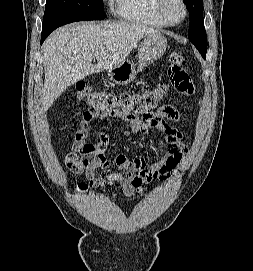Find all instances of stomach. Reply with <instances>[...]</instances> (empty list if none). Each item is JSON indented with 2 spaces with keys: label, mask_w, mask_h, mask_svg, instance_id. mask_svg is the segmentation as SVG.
I'll list each match as a JSON object with an SVG mask.
<instances>
[{
  "label": "stomach",
  "mask_w": 253,
  "mask_h": 271,
  "mask_svg": "<svg viewBox=\"0 0 253 271\" xmlns=\"http://www.w3.org/2000/svg\"><path fill=\"white\" fill-rule=\"evenodd\" d=\"M166 48L167 39L160 32L146 35L138 48L137 63L127 60L108 70L110 80L118 85L130 83L140 71L161 58Z\"/></svg>",
  "instance_id": "obj_1"
}]
</instances>
